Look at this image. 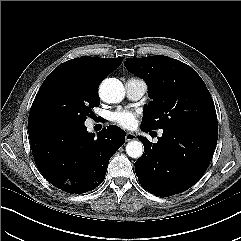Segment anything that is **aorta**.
I'll list each match as a JSON object with an SVG mask.
<instances>
[{
	"label": "aorta",
	"instance_id": "aorta-1",
	"mask_svg": "<svg viewBox=\"0 0 241 241\" xmlns=\"http://www.w3.org/2000/svg\"><path fill=\"white\" fill-rule=\"evenodd\" d=\"M100 98L106 103H119L125 96V89L121 81L116 78L105 79L99 87ZM143 144L140 141H130L126 145L129 157L139 158L143 154Z\"/></svg>",
	"mask_w": 241,
	"mask_h": 241
}]
</instances>
